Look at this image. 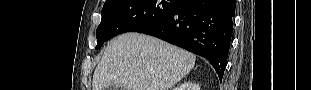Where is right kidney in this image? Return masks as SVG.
<instances>
[{
	"label": "right kidney",
	"instance_id": "ca27d5eb",
	"mask_svg": "<svg viewBox=\"0 0 311 90\" xmlns=\"http://www.w3.org/2000/svg\"><path fill=\"white\" fill-rule=\"evenodd\" d=\"M174 90H200V86L194 82H186Z\"/></svg>",
	"mask_w": 311,
	"mask_h": 90
}]
</instances>
